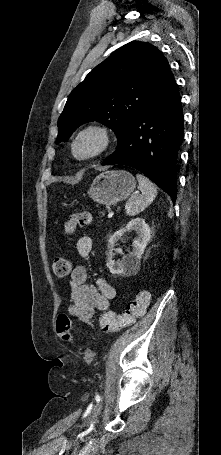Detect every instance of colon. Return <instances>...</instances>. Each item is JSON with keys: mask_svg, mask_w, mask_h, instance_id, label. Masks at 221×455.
I'll return each instance as SVG.
<instances>
[{"mask_svg": "<svg viewBox=\"0 0 221 455\" xmlns=\"http://www.w3.org/2000/svg\"><path fill=\"white\" fill-rule=\"evenodd\" d=\"M91 222L89 213L83 212L71 216L65 224V234H73L78 227H83ZM73 268V262L68 257H57L52 263V269L56 276L65 277L70 274ZM150 293L147 290L139 291L134 299L128 302L126 308L121 313L106 311L100 317L101 328L105 332H117L131 324L137 318L142 317L150 303ZM56 330L58 335L64 341L71 342L73 340L72 322L71 319L61 314L57 318Z\"/></svg>", "mask_w": 221, "mask_h": 455, "instance_id": "colon-1", "label": "colon"}]
</instances>
